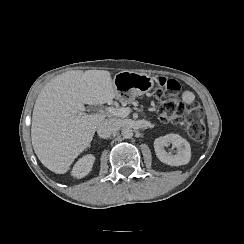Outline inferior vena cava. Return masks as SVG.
<instances>
[{"instance_id": "inferior-vena-cava-1", "label": "inferior vena cava", "mask_w": 244, "mask_h": 244, "mask_svg": "<svg viewBox=\"0 0 244 244\" xmlns=\"http://www.w3.org/2000/svg\"><path fill=\"white\" fill-rule=\"evenodd\" d=\"M119 130V125L112 119H105L99 123L97 133L102 138H109L113 133Z\"/></svg>"}]
</instances>
